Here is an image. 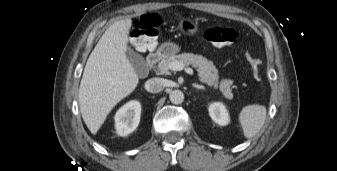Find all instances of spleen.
Instances as JSON below:
<instances>
[{
	"label": "spleen",
	"instance_id": "1",
	"mask_svg": "<svg viewBox=\"0 0 337 171\" xmlns=\"http://www.w3.org/2000/svg\"><path fill=\"white\" fill-rule=\"evenodd\" d=\"M265 106L253 104L245 106L239 114V122L246 138L255 136L263 127L266 119Z\"/></svg>",
	"mask_w": 337,
	"mask_h": 171
}]
</instances>
